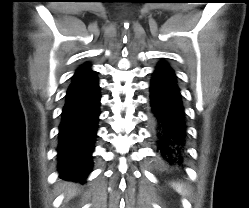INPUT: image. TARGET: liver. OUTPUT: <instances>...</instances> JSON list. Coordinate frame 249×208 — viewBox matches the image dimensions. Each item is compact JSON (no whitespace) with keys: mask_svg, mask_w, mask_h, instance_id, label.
<instances>
[{"mask_svg":"<svg viewBox=\"0 0 249 208\" xmlns=\"http://www.w3.org/2000/svg\"><path fill=\"white\" fill-rule=\"evenodd\" d=\"M76 194V186L75 185H69L67 188V196L66 199L72 198Z\"/></svg>","mask_w":249,"mask_h":208,"instance_id":"liver-1","label":"liver"}]
</instances>
